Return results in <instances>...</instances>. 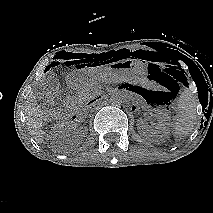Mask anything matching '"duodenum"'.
Listing matches in <instances>:
<instances>
[{
	"mask_svg": "<svg viewBox=\"0 0 213 213\" xmlns=\"http://www.w3.org/2000/svg\"><path fill=\"white\" fill-rule=\"evenodd\" d=\"M103 99V96H95L94 98H92V100L90 101L89 105H93L96 104L98 102H100ZM83 111H78L75 113L74 118H79L82 116Z\"/></svg>",
	"mask_w": 213,
	"mask_h": 213,
	"instance_id": "duodenum-1",
	"label": "duodenum"
}]
</instances>
